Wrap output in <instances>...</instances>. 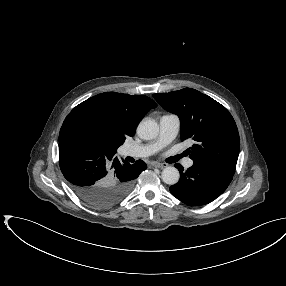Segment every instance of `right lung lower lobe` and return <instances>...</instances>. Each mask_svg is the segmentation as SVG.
Returning a JSON list of instances; mask_svg holds the SVG:
<instances>
[{"mask_svg":"<svg viewBox=\"0 0 286 286\" xmlns=\"http://www.w3.org/2000/svg\"><path fill=\"white\" fill-rule=\"evenodd\" d=\"M121 163L71 122L59 133V164L76 195L96 208L119 203L131 190L133 180L147 166L142 160Z\"/></svg>","mask_w":286,"mask_h":286,"instance_id":"right-lung-lower-lobe-1","label":"right lung lower lobe"}]
</instances>
